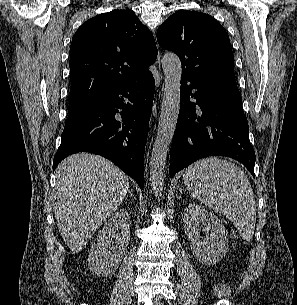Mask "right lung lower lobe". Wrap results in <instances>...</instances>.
Masks as SVG:
<instances>
[{"label":"right lung lower lobe","instance_id":"98d812e1","mask_svg":"<svg viewBox=\"0 0 297 305\" xmlns=\"http://www.w3.org/2000/svg\"><path fill=\"white\" fill-rule=\"evenodd\" d=\"M155 82L151 72L112 87L69 113L53 170L76 152L99 154L144 187V151Z\"/></svg>","mask_w":297,"mask_h":305}]
</instances>
